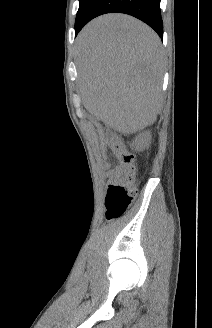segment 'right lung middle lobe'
I'll use <instances>...</instances> for the list:
<instances>
[{"label":"right lung middle lobe","instance_id":"right-lung-middle-lobe-1","mask_svg":"<svg viewBox=\"0 0 212 328\" xmlns=\"http://www.w3.org/2000/svg\"><path fill=\"white\" fill-rule=\"evenodd\" d=\"M79 2V9L75 21V29L84 21L89 8L95 2V0H79Z\"/></svg>","mask_w":212,"mask_h":328}]
</instances>
